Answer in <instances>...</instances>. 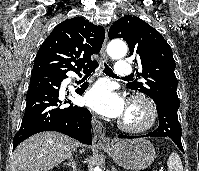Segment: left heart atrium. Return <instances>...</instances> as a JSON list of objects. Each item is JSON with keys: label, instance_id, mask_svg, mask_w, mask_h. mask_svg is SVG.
<instances>
[{"label": "left heart atrium", "instance_id": "obj_1", "mask_svg": "<svg viewBox=\"0 0 199 171\" xmlns=\"http://www.w3.org/2000/svg\"><path fill=\"white\" fill-rule=\"evenodd\" d=\"M85 104L95 112L117 118L124 114L125 103L119 94L112 90L110 84L100 82L94 85L84 97Z\"/></svg>", "mask_w": 199, "mask_h": 171}]
</instances>
